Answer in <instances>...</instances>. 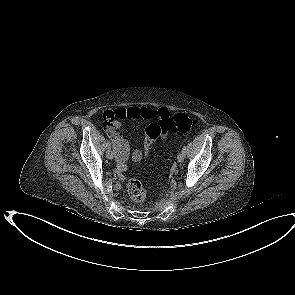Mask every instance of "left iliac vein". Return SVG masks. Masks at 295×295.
I'll use <instances>...</instances> for the list:
<instances>
[{
	"instance_id": "4c4485c4",
	"label": "left iliac vein",
	"mask_w": 295,
	"mask_h": 295,
	"mask_svg": "<svg viewBox=\"0 0 295 295\" xmlns=\"http://www.w3.org/2000/svg\"><path fill=\"white\" fill-rule=\"evenodd\" d=\"M184 158H185V153L181 151L177 156V161L179 163H182L184 161Z\"/></svg>"
}]
</instances>
